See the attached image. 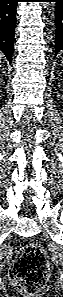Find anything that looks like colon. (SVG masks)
Returning <instances> with one entry per match:
<instances>
[{"mask_svg":"<svg viewBox=\"0 0 63 297\" xmlns=\"http://www.w3.org/2000/svg\"><path fill=\"white\" fill-rule=\"evenodd\" d=\"M10 277L20 291L28 294L39 292L48 279L44 249L34 243L21 248L12 264Z\"/></svg>","mask_w":63,"mask_h":297,"instance_id":"5ec220e1","label":"colon"}]
</instances>
